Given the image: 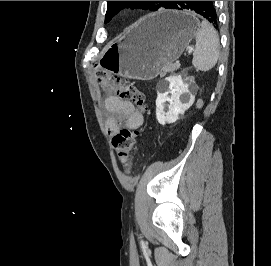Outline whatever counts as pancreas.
I'll return each instance as SVG.
<instances>
[{
  "label": "pancreas",
  "mask_w": 271,
  "mask_h": 266,
  "mask_svg": "<svg viewBox=\"0 0 271 266\" xmlns=\"http://www.w3.org/2000/svg\"><path fill=\"white\" fill-rule=\"evenodd\" d=\"M179 68L178 64L176 63H171L167 65L161 72V76H165L168 72H174Z\"/></svg>",
  "instance_id": "cf45deb5"
}]
</instances>
